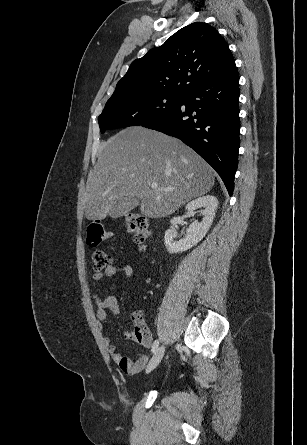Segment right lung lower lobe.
I'll return each mask as SVG.
<instances>
[{"mask_svg":"<svg viewBox=\"0 0 307 445\" xmlns=\"http://www.w3.org/2000/svg\"><path fill=\"white\" fill-rule=\"evenodd\" d=\"M238 100L239 75L234 65L187 92L172 111L142 126L177 137L190 146L217 171L231 196L238 165Z\"/></svg>","mask_w":307,"mask_h":445,"instance_id":"98d812e1","label":"right lung lower lobe"}]
</instances>
